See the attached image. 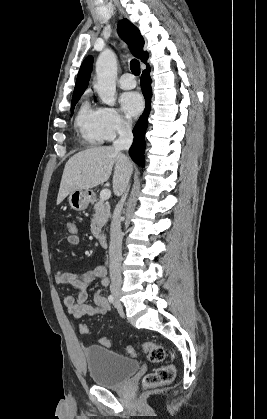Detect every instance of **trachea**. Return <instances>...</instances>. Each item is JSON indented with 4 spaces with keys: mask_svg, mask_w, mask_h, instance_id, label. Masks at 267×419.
Masks as SVG:
<instances>
[{
    "mask_svg": "<svg viewBox=\"0 0 267 419\" xmlns=\"http://www.w3.org/2000/svg\"><path fill=\"white\" fill-rule=\"evenodd\" d=\"M130 69L132 73L136 76L140 74V63L136 59H132L130 62Z\"/></svg>",
    "mask_w": 267,
    "mask_h": 419,
    "instance_id": "obj_1",
    "label": "trachea"
}]
</instances>
